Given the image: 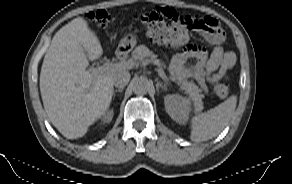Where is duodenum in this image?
I'll list each match as a JSON object with an SVG mask.
<instances>
[{"label":"duodenum","instance_id":"1","mask_svg":"<svg viewBox=\"0 0 292 184\" xmlns=\"http://www.w3.org/2000/svg\"><path fill=\"white\" fill-rule=\"evenodd\" d=\"M115 55L117 58H123L126 55V50L123 48H120L115 52Z\"/></svg>","mask_w":292,"mask_h":184}]
</instances>
